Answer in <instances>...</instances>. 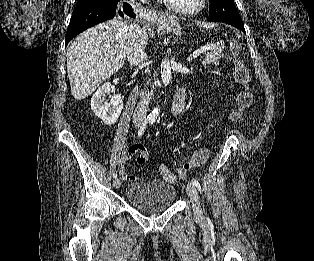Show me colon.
<instances>
[{
    "mask_svg": "<svg viewBox=\"0 0 314 261\" xmlns=\"http://www.w3.org/2000/svg\"><path fill=\"white\" fill-rule=\"evenodd\" d=\"M239 45H231V57L234 64V75L236 81L242 86V90L237 97L238 108L231 114L230 124L239 122L243 112L252 105L253 92L251 89V75L249 69L238 59ZM210 156L209 148L198 149L193 157L183 164V170L189 171L193 167L204 164ZM147 158L143 155L138 157V162L145 163Z\"/></svg>",
    "mask_w": 314,
    "mask_h": 261,
    "instance_id": "colon-1",
    "label": "colon"
}]
</instances>
